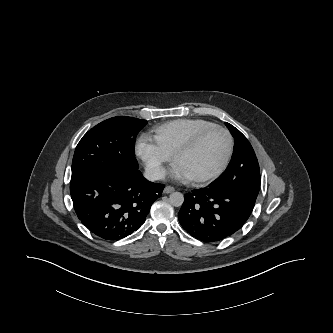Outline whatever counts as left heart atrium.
Masks as SVG:
<instances>
[{"label":"left heart atrium","mask_w":333,"mask_h":333,"mask_svg":"<svg viewBox=\"0 0 333 333\" xmlns=\"http://www.w3.org/2000/svg\"><path fill=\"white\" fill-rule=\"evenodd\" d=\"M172 174L174 177H176L178 179H188L189 178L177 164L174 166Z\"/></svg>","instance_id":"39dd6f15"}]
</instances>
